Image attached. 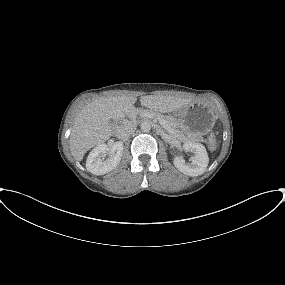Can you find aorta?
I'll use <instances>...</instances> for the list:
<instances>
[{
  "instance_id": "762f6f07",
  "label": "aorta",
  "mask_w": 285,
  "mask_h": 285,
  "mask_svg": "<svg viewBox=\"0 0 285 285\" xmlns=\"http://www.w3.org/2000/svg\"><path fill=\"white\" fill-rule=\"evenodd\" d=\"M140 128L143 132H149L152 128L151 122L150 121H143L140 124Z\"/></svg>"
}]
</instances>
